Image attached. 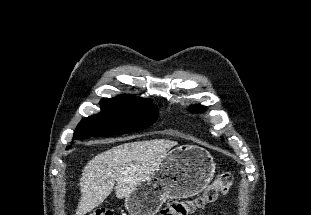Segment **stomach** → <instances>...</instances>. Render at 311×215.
I'll use <instances>...</instances> for the list:
<instances>
[{
	"label": "stomach",
	"mask_w": 311,
	"mask_h": 215,
	"mask_svg": "<svg viewBox=\"0 0 311 215\" xmlns=\"http://www.w3.org/2000/svg\"><path fill=\"white\" fill-rule=\"evenodd\" d=\"M215 173L211 154L197 145H182L167 153L161 164L125 198L130 215H155L167 199L198 195Z\"/></svg>",
	"instance_id": "0dacf381"
}]
</instances>
